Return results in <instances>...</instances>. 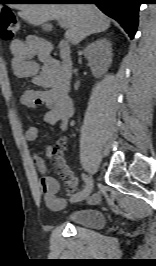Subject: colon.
Wrapping results in <instances>:
<instances>
[{
  "label": "colon",
  "instance_id": "obj_1",
  "mask_svg": "<svg viewBox=\"0 0 156 266\" xmlns=\"http://www.w3.org/2000/svg\"><path fill=\"white\" fill-rule=\"evenodd\" d=\"M0 21V35L2 39H14L19 31V22L14 12L10 9H3L1 12Z\"/></svg>",
  "mask_w": 156,
  "mask_h": 266
}]
</instances>
